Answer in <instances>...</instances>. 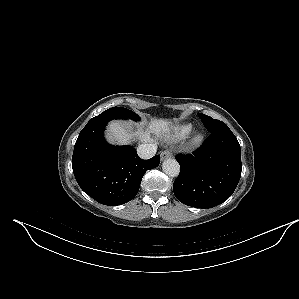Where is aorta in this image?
I'll use <instances>...</instances> for the list:
<instances>
[{"mask_svg": "<svg viewBox=\"0 0 299 299\" xmlns=\"http://www.w3.org/2000/svg\"><path fill=\"white\" fill-rule=\"evenodd\" d=\"M162 170L165 174L171 177H176L180 172V165L177 160L173 158L166 159L162 164Z\"/></svg>", "mask_w": 299, "mask_h": 299, "instance_id": "aorta-1", "label": "aorta"}]
</instances>
